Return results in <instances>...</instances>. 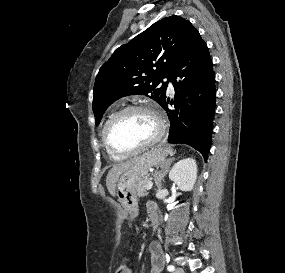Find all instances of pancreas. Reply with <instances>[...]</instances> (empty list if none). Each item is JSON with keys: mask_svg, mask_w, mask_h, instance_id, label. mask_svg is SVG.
<instances>
[{"mask_svg": "<svg viewBox=\"0 0 285 273\" xmlns=\"http://www.w3.org/2000/svg\"><path fill=\"white\" fill-rule=\"evenodd\" d=\"M149 182H150V178L146 177L137 185L136 192H137L138 197H144L148 194L147 185Z\"/></svg>", "mask_w": 285, "mask_h": 273, "instance_id": "cf45deb5", "label": "pancreas"}]
</instances>
